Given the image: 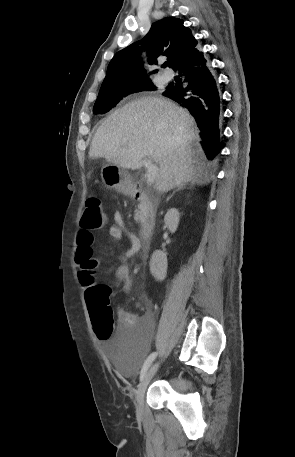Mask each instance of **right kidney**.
<instances>
[{"label":"right kidney","mask_w":295,"mask_h":457,"mask_svg":"<svg viewBox=\"0 0 295 457\" xmlns=\"http://www.w3.org/2000/svg\"><path fill=\"white\" fill-rule=\"evenodd\" d=\"M165 225L169 231L174 233L179 224V212L175 208L167 211L164 217ZM151 274L159 281L165 279L167 274V256L163 251L156 250L150 260Z\"/></svg>","instance_id":"ca27d5eb"}]
</instances>
